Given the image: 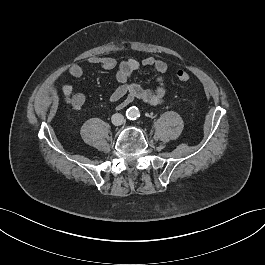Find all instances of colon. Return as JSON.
<instances>
[{
	"instance_id": "obj_1",
	"label": "colon",
	"mask_w": 265,
	"mask_h": 265,
	"mask_svg": "<svg viewBox=\"0 0 265 265\" xmlns=\"http://www.w3.org/2000/svg\"><path fill=\"white\" fill-rule=\"evenodd\" d=\"M177 77H178V80L183 84L189 83L191 79L190 75L185 71H179L177 74Z\"/></svg>"
}]
</instances>
